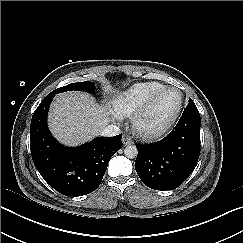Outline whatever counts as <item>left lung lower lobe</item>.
<instances>
[{"mask_svg": "<svg viewBox=\"0 0 243 243\" xmlns=\"http://www.w3.org/2000/svg\"><path fill=\"white\" fill-rule=\"evenodd\" d=\"M201 119L197 107H186L175 128L153 144H136L135 169L155 190H173L192 173L200 155Z\"/></svg>", "mask_w": 243, "mask_h": 243, "instance_id": "left-lung-lower-lobe-1", "label": "left lung lower lobe"}]
</instances>
